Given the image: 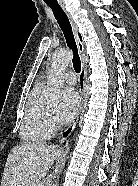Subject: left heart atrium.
<instances>
[{
    "label": "left heart atrium",
    "instance_id": "left-heart-atrium-1",
    "mask_svg": "<svg viewBox=\"0 0 138 186\" xmlns=\"http://www.w3.org/2000/svg\"><path fill=\"white\" fill-rule=\"evenodd\" d=\"M79 107V96L75 89L66 88L62 92L61 106L57 117L61 123H67L76 114Z\"/></svg>",
    "mask_w": 138,
    "mask_h": 186
}]
</instances>
